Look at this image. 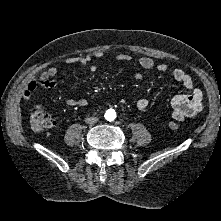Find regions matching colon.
<instances>
[{
  "mask_svg": "<svg viewBox=\"0 0 221 221\" xmlns=\"http://www.w3.org/2000/svg\"><path fill=\"white\" fill-rule=\"evenodd\" d=\"M179 120L180 119L170 121L168 123V128L172 131L179 130L181 127ZM30 123L31 128L35 132H42L52 126L53 118L42 107H37L31 114Z\"/></svg>",
  "mask_w": 221,
  "mask_h": 221,
  "instance_id": "1",
  "label": "colon"
}]
</instances>
